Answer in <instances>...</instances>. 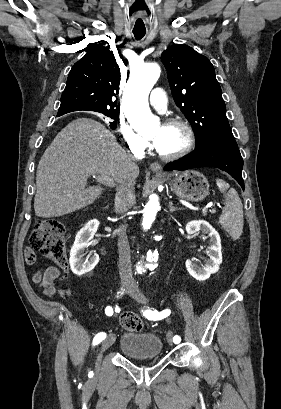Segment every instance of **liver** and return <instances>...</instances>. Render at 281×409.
<instances>
[{"label":"liver","mask_w":281,"mask_h":409,"mask_svg":"<svg viewBox=\"0 0 281 409\" xmlns=\"http://www.w3.org/2000/svg\"><path fill=\"white\" fill-rule=\"evenodd\" d=\"M114 134L93 118H76L62 128L42 154L36 172L37 217H62L84 209L101 196L102 186H87L91 174L116 182L136 178L139 166Z\"/></svg>","instance_id":"6515ba94"}]
</instances>
